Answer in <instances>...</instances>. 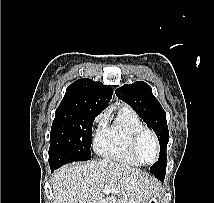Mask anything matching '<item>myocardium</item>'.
<instances>
[{
    "label": "myocardium",
    "mask_w": 214,
    "mask_h": 203,
    "mask_svg": "<svg viewBox=\"0 0 214 203\" xmlns=\"http://www.w3.org/2000/svg\"><path fill=\"white\" fill-rule=\"evenodd\" d=\"M145 135H149L152 138L154 146H155V150H156L155 160L150 163L145 162L141 158L140 151H139V145H140L141 139ZM131 151L134 154V156L139 160V162L142 163L143 165H152V164L156 163L160 157V145H159V141H158L156 134L152 130H150L146 127L137 130L134 133L132 140H131Z\"/></svg>",
    "instance_id": "1"
}]
</instances>
